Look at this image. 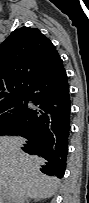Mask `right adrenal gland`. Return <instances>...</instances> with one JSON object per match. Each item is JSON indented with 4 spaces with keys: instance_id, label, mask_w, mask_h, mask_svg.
Returning <instances> with one entry per match:
<instances>
[{
    "instance_id": "2a0ac1e0",
    "label": "right adrenal gland",
    "mask_w": 89,
    "mask_h": 203,
    "mask_svg": "<svg viewBox=\"0 0 89 203\" xmlns=\"http://www.w3.org/2000/svg\"><path fill=\"white\" fill-rule=\"evenodd\" d=\"M33 200H35V199H33ZM31 201V198H29V199H27L26 200V203H29ZM37 201V200H36Z\"/></svg>"
}]
</instances>
